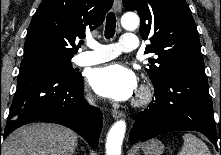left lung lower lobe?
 Listing matches in <instances>:
<instances>
[{"label":"left lung lower lobe","mask_w":221,"mask_h":155,"mask_svg":"<svg viewBox=\"0 0 221 155\" xmlns=\"http://www.w3.org/2000/svg\"><path fill=\"white\" fill-rule=\"evenodd\" d=\"M154 87L153 102L144 111L132 115L135 123L129 136L131 143L165 132L194 130L203 133L217 148L213 106L204 69L176 70Z\"/></svg>","instance_id":"1"}]
</instances>
